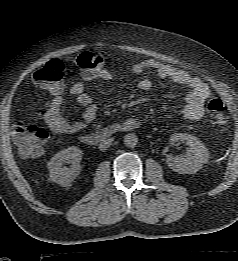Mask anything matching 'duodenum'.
Listing matches in <instances>:
<instances>
[{"label": "duodenum", "instance_id": "1", "mask_svg": "<svg viewBox=\"0 0 238 261\" xmlns=\"http://www.w3.org/2000/svg\"><path fill=\"white\" fill-rule=\"evenodd\" d=\"M134 128L135 124L130 121H126L124 123L111 124L98 131L82 135L80 137V140L86 145L95 146L109 139L117 133L128 132Z\"/></svg>", "mask_w": 238, "mask_h": 261}]
</instances>
